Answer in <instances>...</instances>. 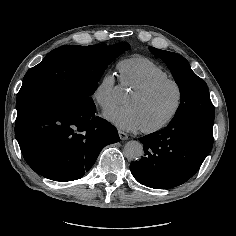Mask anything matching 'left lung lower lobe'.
Segmentation results:
<instances>
[{"label": "left lung lower lobe", "mask_w": 236, "mask_h": 236, "mask_svg": "<svg viewBox=\"0 0 236 236\" xmlns=\"http://www.w3.org/2000/svg\"><path fill=\"white\" fill-rule=\"evenodd\" d=\"M214 119L191 117L140 138L144 156L130 164L141 184L167 189L188 181L213 146Z\"/></svg>", "instance_id": "left-lung-lower-lobe-1"}]
</instances>
